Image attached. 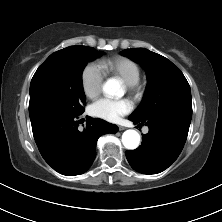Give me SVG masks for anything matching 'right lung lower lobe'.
<instances>
[{
  "label": "right lung lower lobe",
  "instance_id": "obj_1",
  "mask_svg": "<svg viewBox=\"0 0 222 222\" xmlns=\"http://www.w3.org/2000/svg\"><path fill=\"white\" fill-rule=\"evenodd\" d=\"M81 114H48L31 121L38 149L45 161L57 172L74 176L84 173L96 156V141L118 127L99 118L88 117L86 128H78Z\"/></svg>",
  "mask_w": 222,
  "mask_h": 222
}]
</instances>
